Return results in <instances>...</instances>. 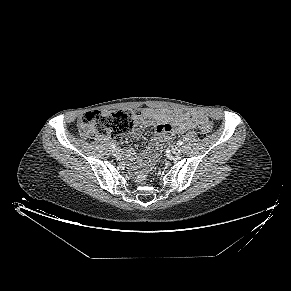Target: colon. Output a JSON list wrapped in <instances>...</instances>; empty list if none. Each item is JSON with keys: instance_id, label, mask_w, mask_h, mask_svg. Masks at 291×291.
<instances>
[{"instance_id": "1", "label": "colon", "mask_w": 291, "mask_h": 291, "mask_svg": "<svg viewBox=\"0 0 291 291\" xmlns=\"http://www.w3.org/2000/svg\"><path fill=\"white\" fill-rule=\"evenodd\" d=\"M142 122V112L137 110H117L113 112L88 111L79 120L81 133L89 138L109 135L115 141H120L122 136L135 130ZM212 130V123L203 119L200 131L207 134Z\"/></svg>"}]
</instances>
